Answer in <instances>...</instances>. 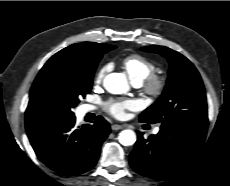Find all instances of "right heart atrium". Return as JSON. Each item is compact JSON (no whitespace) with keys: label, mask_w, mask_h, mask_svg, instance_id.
<instances>
[{"label":"right heart atrium","mask_w":230,"mask_h":186,"mask_svg":"<svg viewBox=\"0 0 230 186\" xmlns=\"http://www.w3.org/2000/svg\"><path fill=\"white\" fill-rule=\"evenodd\" d=\"M110 68H111L110 64H104L102 67H100V69L97 71L95 75V81L101 82L105 77V75L109 72Z\"/></svg>","instance_id":"right-heart-atrium-1"}]
</instances>
